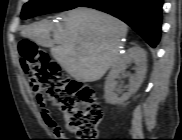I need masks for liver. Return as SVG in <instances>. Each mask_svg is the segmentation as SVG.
<instances>
[{
    "label": "liver",
    "mask_w": 182,
    "mask_h": 140,
    "mask_svg": "<svg viewBox=\"0 0 182 140\" xmlns=\"http://www.w3.org/2000/svg\"><path fill=\"white\" fill-rule=\"evenodd\" d=\"M127 30L111 15L78 7L66 13L62 25L43 20L25 27L21 35L49 47L58 64L77 81L93 82L119 60Z\"/></svg>",
    "instance_id": "liver-1"
}]
</instances>
